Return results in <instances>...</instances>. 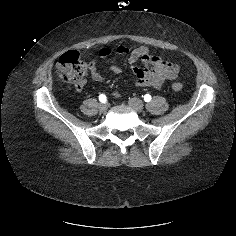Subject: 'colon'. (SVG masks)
Returning <instances> with one entry per match:
<instances>
[{
  "instance_id": "obj_1",
  "label": "colon",
  "mask_w": 236,
  "mask_h": 236,
  "mask_svg": "<svg viewBox=\"0 0 236 236\" xmlns=\"http://www.w3.org/2000/svg\"><path fill=\"white\" fill-rule=\"evenodd\" d=\"M56 70L63 80L78 87L84 83L87 64L80 58L77 51H68L58 59ZM171 87L179 91L183 88V84L176 82Z\"/></svg>"
}]
</instances>
